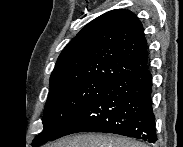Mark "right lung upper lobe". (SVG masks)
Wrapping results in <instances>:
<instances>
[{
  "label": "right lung upper lobe",
  "instance_id": "cb5924a9",
  "mask_svg": "<svg viewBox=\"0 0 183 147\" xmlns=\"http://www.w3.org/2000/svg\"><path fill=\"white\" fill-rule=\"evenodd\" d=\"M148 67L141 22L132 12L116 9L88 23L64 48L50 87L85 79L110 83Z\"/></svg>",
  "mask_w": 183,
  "mask_h": 147
}]
</instances>
